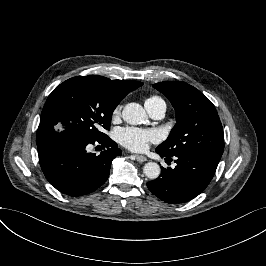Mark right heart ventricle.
<instances>
[{
	"label": "right heart ventricle",
	"mask_w": 266,
	"mask_h": 266,
	"mask_svg": "<svg viewBox=\"0 0 266 266\" xmlns=\"http://www.w3.org/2000/svg\"><path fill=\"white\" fill-rule=\"evenodd\" d=\"M163 103H166L165 100L157 94L150 95L145 100V106L147 109H156Z\"/></svg>",
	"instance_id": "1"
}]
</instances>
